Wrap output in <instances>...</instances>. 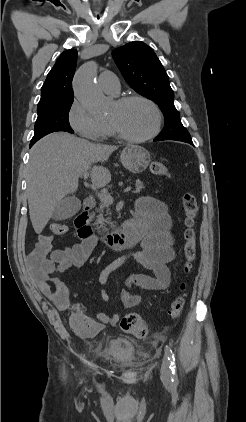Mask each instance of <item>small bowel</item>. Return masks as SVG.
<instances>
[{"label": "small bowel", "mask_w": 246, "mask_h": 422, "mask_svg": "<svg viewBox=\"0 0 246 422\" xmlns=\"http://www.w3.org/2000/svg\"><path fill=\"white\" fill-rule=\"evenodd\" d=\"M134 219L142 230L141 249L129 257L119 258L105 266L98 277L102 287V298L109 296L105 290L109 276L128 258H133L153 272V276L132 274L124 282L120 294L122 306L126 309L138 306L142 302L140 295L132 292L133 287L150 291H160L169 287L171 272L168 264L175 259L174 238L171 233L172 221L165 203L149 196H142L136 201ZM95 239L83 240L72 246L55 249L50 254L51 269L43 279H36V287L59 310H71L70 323L73 330L83 338L97 335L105 324L115 325L119 315L97 313L90 317L79 304L70 302L69 289L58 277L54 276L75 267L81 268L90 258Z\"/></svg>", "instance_id": "obj_1"}]
</instances>
